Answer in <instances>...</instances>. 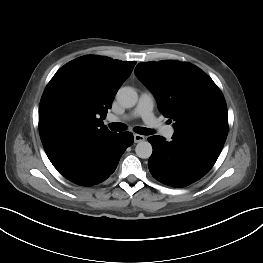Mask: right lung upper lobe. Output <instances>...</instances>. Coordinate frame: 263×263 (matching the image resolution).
Segmentation results:
<instances>
[{
  "instance_id": "obj_1",
  "label": "right lung upper lobe",
  "mask_w": 263,
  "mask_h": 263,
  "mask_svg": "<svg viewBox=\"0 0 263 263\" xmlns=\"http://www.w3.org/2000/svg\"><path fill=\"white\" fill-rule=\"evenodd\" d=\"M135 64L88 55L60 68L39 106V133L45 152L85 136L111 133L103 120Z\"/></svg>"
}]
</instances>
